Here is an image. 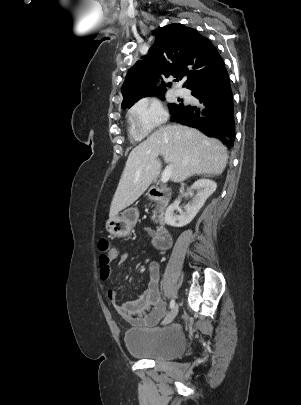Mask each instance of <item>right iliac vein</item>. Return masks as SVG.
<instances>
[{
  "label": "right iliac vein",
  "instance_id": "obj_1",
  "mask_svg": "<svg viewBox=\"0 0 301 405\" xmlns=\"http://www.w3.org/2000/svg\"><path fill=\"white\" fill-rule=\"evenodd\" d=\"M178 313V305L174 306V308L167 314L165 317L163 324L171 323Z\"/></svg>",
  "mask_w": 301,
  "mask_h": 405
}]
</instances>
